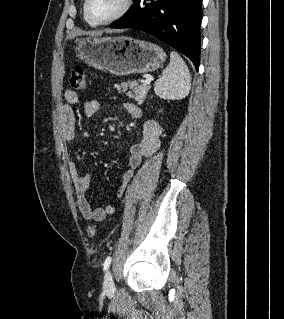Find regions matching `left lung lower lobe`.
I'll return each mask as SVG.
<instances>
[{"mask_svg": "<svg viewBox=\"0 0 284 319\" xmlns=\"http://www.w3.org/2000/svg\"><path fill=\"white\" fill-rule=\"evenodd\" d=\"M202 0H134L112 28H133L155 36L200 64Z\"/></svg>", "mask_w": 284, "mask_h": 319, "instance_id": "left-lung-lower-lobe-1", "label": "left lung lower lobe"}]
</instances>
